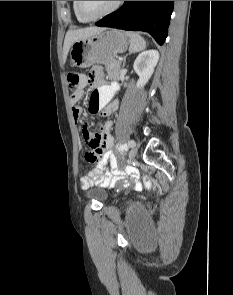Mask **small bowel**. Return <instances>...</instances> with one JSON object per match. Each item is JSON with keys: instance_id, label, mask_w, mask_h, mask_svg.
<instances>
[{"instance_id": "c3829d8e", "label": "small bowel", "mask_w": 233, "mask_h": 295, "mask_svg": "<svg viewBox=\"0 0 233 295\" xmlns=\"http://www.w3.org/2000/svg\"><path fill=\"white\" fill-rule=\"evenodd\" d=\"M87 80L95 86L90 96L89 108L92 112H99L103 120L99 135L102 154L99 165L87 175L80 177L79 184L82 189H87L95 185L106 186L124 177V172L119 168L116 157L111 151L113 137L111 135L112 122L109 120V117L118 108V102L112 100L114 93L117 91V85H102V73L99 68H93L89 72ZM82 96L83 92L71 96V102L76 104ZM72 114L75 121H79L84 114V110L82 107L75 105L72 108Z\"/></svg>"}]
</instances>
